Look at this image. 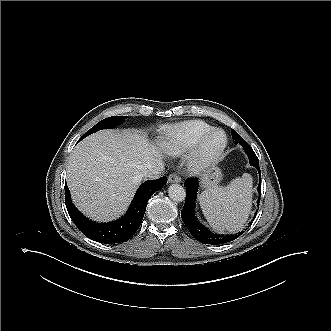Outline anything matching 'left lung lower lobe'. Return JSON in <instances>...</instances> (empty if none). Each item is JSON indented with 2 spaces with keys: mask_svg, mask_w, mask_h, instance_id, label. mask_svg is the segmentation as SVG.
Listing matches in <instances>:
<instances>
[{
  "mask_svg": "<svg viewBox=\"0 0 331 331\" xmlns=\"http://www.w3.org/2000/svg\"><path fill=\"white\" fill-rule=\"evenodd\" d=\"M232 137L237 144L238 143L241 144L243 148L246 149L247 143L243 138L238 136H232ZM250 164L254 166L260 173L259 163L256 164L250 161ZM184 185L186 186V200H185V205L181 211V217L184 224L186 225V227L188 228V230L196 240L204 244L219 245L233 241L244 233V231H242L232 235H220L210 232L195 218L194 209H195V201L198 191L197 179L189 178L184 182ZM258 192L261 194V183H259L258 185Z\"/></svg>",
  "mask_w": 331,
  "mask_h": 331,
  "instance_id": "left-lung-lower-lobe-1",
  "label": "left lung lower lobe"
}]
</instances>
